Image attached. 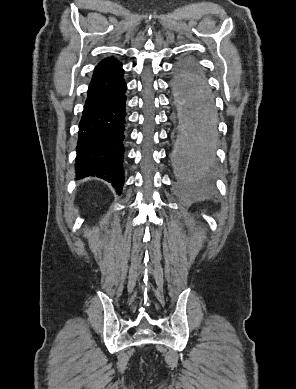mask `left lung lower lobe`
I'll return each mask as SVG.
<instances>
[{"label": "left lung lower lobe", "mask_w": 296, "mask_h": 389, "mask_svg": "<svg viewBox=\"0 0 296 389\" xmlns=\"http://www.w3.org/2000/svg\"><path fill=\"white\" fill-rule=\"evenodd\" d=\"M182 93L187 100V109L192 115L193 122L190 125L189 133L183 136L184 147L181 151L180 162L185 173H203L213 160V101L206 81L205 85L202 81H198L193 87L183 90Z\"/></svg>", "instance_id": "1"}]
</instances>
